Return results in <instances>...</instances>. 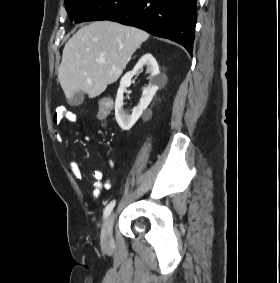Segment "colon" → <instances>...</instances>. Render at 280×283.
Masks as SVG:
<instances>
[{
	"label": "colon",
	"instance_id": "1",
	"mask_svg": "<svg viewBox=\"0 0 280 283\" xmlns=\"http://www.w3.org/2000/svg\"><path fill=\"white\" fill-rule=\"evenodd\" d=\"M112 104L111 99L105 98L102 99L99 103L98 114H96V119H109L110 112L114 111L113 107H110Z\"/></svg>",
	"mask_w": 280,
	"mask_h": 283
}]
</instances>
